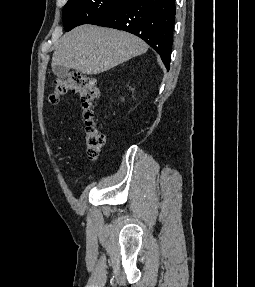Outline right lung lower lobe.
<instances>
[{
  "label": "right lung lower lobe",
  "mask_w": 255,
  "mask_h": 287,
  "mask_svg": "<svg viewBox=\"0 0 255 287\" xmlns=\"http://www.w3.org/2000/svg\"><path fill=\"white\" fill-rule=\"evenodd\" d=\"M175 0H127L89 24L130 32L142 38L170 68Z\"/></svg>",
  "instance_id": "1"
}]
</instances>
